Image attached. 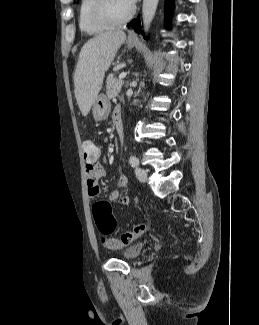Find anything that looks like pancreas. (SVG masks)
I'll use <instances>...</instances> for the list:
<instances>
[{
  "label": "pancreas",
  "mask_w": 259,
  "mask_h": 325,
  "mask_svg": "<svg viewBox=\"0 0 259 325\" xmlns=\"http://www.w3.org/2000/svg\"><path fill=\"white\" fill-rule=\"evenodd\" d=\"M123 85L122 80L114 78L113 74H110L106 80V93L109 99L115 98L121 91Z\"/></svg>",
  "instance_id": "1"
}]
</instances>
